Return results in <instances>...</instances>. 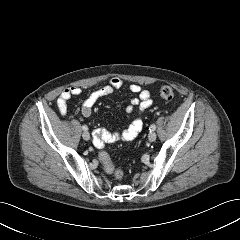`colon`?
Here are the masks:
<instances>
[{"label":"colon","mask_w":240,"mask_h":240,"mask_svg":"<svg viewBox=\"0 0 240 240\" xmlns=\"http://www.w3.org/2000/svg\"><path fill=\"white\" fill-rule=\"evenodd\" d=\"M173 95V89L170 86H163L160 89V96L165 100H171ZM98 159L107 173L112 174L116 179H122L124 175L123 171L114 166L111 157L107 152H100Z\"/></svg>","instance_id":"colon-1"}]
</instances>
